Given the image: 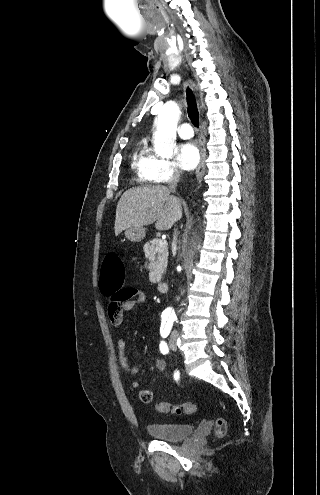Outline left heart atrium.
Here are the masks:
<instances>
[{"label":"left heart atrium","instance_id":"1","mask_svg":"<svg viewBox=\"0 0 320 495\" xmlns=\"http://www.w3.org/2000/svg\"><path fill=\"white\" fill-rule=\"evenodd\" d=\"M178 160L183 169H194L200 161V153L198 147L191 142L180 145L178 149Z\"/></svg>","mask_w":320,"mask_h":495}]
</instances>
